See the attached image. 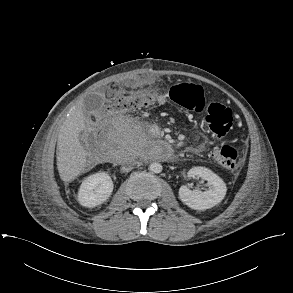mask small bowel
Segmentation results:
<instances>
[{"instance_id":"c3829d8e","label":"small bowel","mask_w":293,"mask_h":293,"mask_svg":"<svg viewBox=\"0 0 293 293\" xmlns=\"http://www.w3.org/2000/svg\"><path fill=\"white\" fill-rule=\"evenodd\" d=\"M153 82H154V80L151 77H145L142 79L133 80V81L129 82L127 84V87L128 88H135L140 85H146V86L151 87ZM155 102L158 105L164 104L166 102V98L163 95L157 93ZM204 147H205V144L203 143L198 146H191V147H189V150L191 152H200L201 150H203Z\"/></svg>"}]
</instances>
